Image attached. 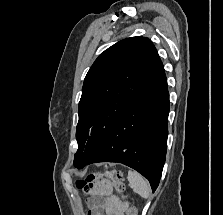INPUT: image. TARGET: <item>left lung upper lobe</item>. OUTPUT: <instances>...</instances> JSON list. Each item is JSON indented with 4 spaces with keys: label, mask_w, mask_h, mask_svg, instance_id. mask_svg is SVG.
<instances>
[{
    "label": "left lung upper lobe",
    "mask_w": 223,
    "mask_h": 215,
    "mask_svg": "<svg viewBox=\"0 0 223 215\" xmlns=\"http://www.w3.org/2000/svg\"><path fill=\"white\" fill-rule=\"evenodd\" d=\"M162 66L155 46L145 37L121 40L95 60L79 102L74 166L86 165Z\"/></svg>",
    "instance_id": "5c2ea615"
}]
</instances>
